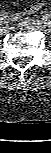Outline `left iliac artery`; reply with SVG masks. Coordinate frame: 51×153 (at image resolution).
<instances>
[{
	"label": "left iliac artery",
	"instance_id": "obj_1",
	"mask_svg": "<svg viewBox=\"0 0 51 153\" xmlns=\"http://www.w3.org/2000/svg\"><path fill=\"white\" fill-rule=\"evenodd\" d=\"M42 21H44V23L46 24V26H48V28L51 27V14L48 13L46 14L43 18ZM43 23V22H42Z\"/></svg>",
	"mask_w": 51,
	"mask_h": 153
}]
</instances>
